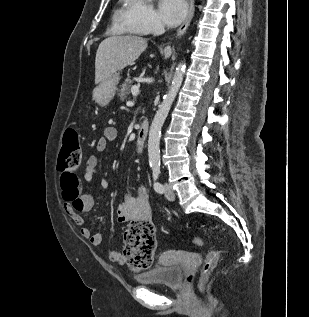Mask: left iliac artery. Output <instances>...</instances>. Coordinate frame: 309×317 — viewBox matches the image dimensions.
I'll list each match as a JSON object with an SVG mask.
<instances>
[{
    "instance_id": "left-iliac-artery-1",
    "label": "left iliac artery",
    "mask_w": 309,
    "mask_h": 317,
    "mask_svg": "<svg viewBox=\"0 0 309 317\" xmlns=\"http://www.w3.org/2000/svg\"><path fill=\"white\" fill-rule=\"evenodd\" d=\"M152 170H153V187H154V190L157 192V193H160L162 194L164 192V187L161 183H159L157 181L159 175H160V165H153L152 167Z\"/></svg>"
}]
</instances>
